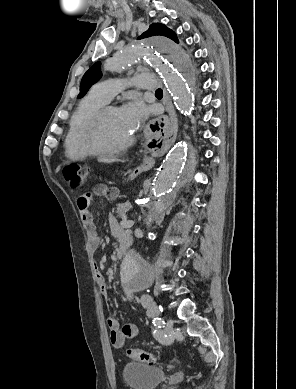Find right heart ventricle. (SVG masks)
<instances>
[{
    "instance_id": "right-heart-ventricle-1",
    "label": "right heart ventricle",
    "mask_w": 296,
    "mask_h": 389,
    "mask_svg": "<svg viewBox=\"0 0 296 389\" xmlns=\"http://www.w3.org/2000/svg\"><path fill=\"white\" fill-rule=\"evenodd\" d=\"M106 103L105 100L93 92H90L83 98L71 119L70 127L65 138V153L68 158L83 160L90 155L85 143L86 133L93 116Z\"/></svg>"
}]
</instances>
